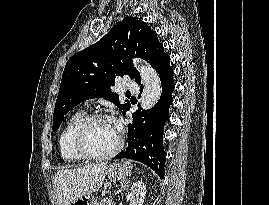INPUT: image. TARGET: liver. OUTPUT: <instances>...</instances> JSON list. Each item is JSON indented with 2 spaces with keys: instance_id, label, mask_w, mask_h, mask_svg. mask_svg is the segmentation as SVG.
<instances>
[{
  "instance_id": "liver-1",
  "label": "liver",
  "mask_w": 269,
  "mask_h": 205,
  "mask_svg": "<svg viewBox=\"0 0 269 205\" xmlns=\"http://www.w3.org/2000/svg\"><path fill=\"white\" fill-rule=\"evenodd\" d=\"M106 170L107 163L101 162L58 171L54 187L59 205H70L73 200L97 191L105 180Z\"/></svg>"
}]
</instances>
